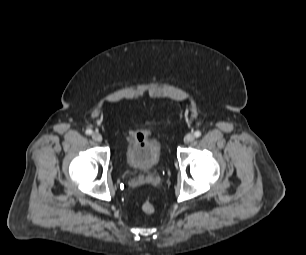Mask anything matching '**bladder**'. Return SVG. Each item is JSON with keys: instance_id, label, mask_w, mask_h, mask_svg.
<instances>
[{"instance_id": "31cf9c89", "label": "bladder", "mask_w": 306, "mask_h": 255, "mask_svg": "<svg viewBox=\"0 0 306 255\" xmlns=\"http://www.w3.org/2000/svg\"><path fill=\"white\" fill-rule=\"evenodd\" d=\"M127 165L134 171L149 173L161 160V144L158 138L146 134L143 140L128 138L125 147Z\"/></svg>"}]
</instances>
